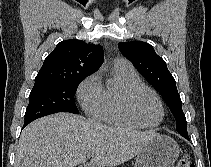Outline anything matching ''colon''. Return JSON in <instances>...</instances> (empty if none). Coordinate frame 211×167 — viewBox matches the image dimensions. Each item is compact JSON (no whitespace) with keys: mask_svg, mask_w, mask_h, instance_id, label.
I'll list each match as a JSON object with an SVG mask.
<instances>
[{"mask_svg":"<svg viewBox=\"0 0 211 167\" xmlns=\"http://www.w3.org/2000/svg\"><path fill=\"white\" fill-rule=\"evenodd\" d=\"M175 167H194V165L192 164L189 157L184 156L177 162Z\"/></svg>","mask_w":211,"mask_h":167,"instance_id":"5ec220e1","label":"colon"}]
</instances>
